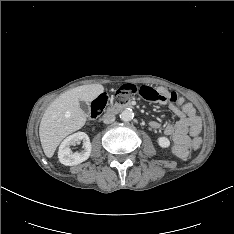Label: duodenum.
<instances>
[{
  "label": "duodenum",
  "mask_w": 234,
  "mask_h": 234,
  "mask_svg": "<svg viewBox=\"0 0 234 234\" xmlns=\"http://www.w3.org/2000/svg\"><path fill=\"white\" fill-rule=\"evenodd\" d=\"M133 107H134V103L130 101L122 102V103L116 102L111 107H109L108 112L116 114L124 109L133 108Z\"/></svg>",
  "instance_id": "410a0bca"
}]
</instances>
